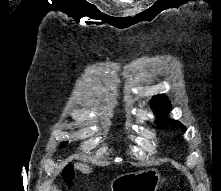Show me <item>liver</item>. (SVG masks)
Listing matches in <instances>:
<instances>
[{"instance_id":"1","label":"liver","mask_w":221,"mask_h":191,"mask_svg":"<svg viewBox=\"0 0 221 191\" xmlns=\"http://www.w3.org/2000/svg\"><path fill=\"white\" fill-rule=\"evenodd\" d=\"M83 170L90 171L91 169L88 166H82Z\"/></svg>"}]
</instances>
